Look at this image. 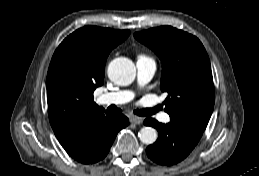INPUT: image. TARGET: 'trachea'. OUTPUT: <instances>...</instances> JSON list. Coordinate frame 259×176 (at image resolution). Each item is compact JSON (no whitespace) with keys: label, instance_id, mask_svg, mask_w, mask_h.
Masks as SVG:
<instances>
[{"label":"trachea","instance_id":"obj_1","mask_svg":"<svg viewBox=\"0 0 259 176\" xmlns=\"http://www.w3.org/2000/svg\"><path fill=\"white\" fill-rule=\"evenodd\" d=\"M160 110V106H156L155 108H147L142 110H136L135 113L139 116H150L152 114H155ZM114 112H121L120 109L116 108L113 110Z\"/></svg>","mask_w":259,"mask_h":176}]
</instances>
